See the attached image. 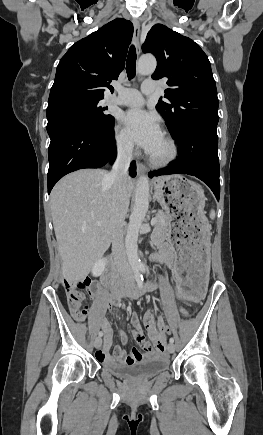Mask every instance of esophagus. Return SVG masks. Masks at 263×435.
Segmentation results:
<instances>
[{
    "label": "esophagus",
    "mask_w": 263,
    "mask_h": 435,
    "mask_svg": "<svg viewBox=\"0 0 263 435\" xmlns=\"http://www.w3.org/2000/svg\"><path fill=\"white\" fill-rule=\"evenodd\" d=\"M133 26H134V34H133V41L136 47V53L140 54V24L138 20H133ZM137 172L139 175L144 174L146 172V167L143 163L138 162L137 163Z\"/></svg>",
    "instance_id": "obj_1"
}]
</instances>
